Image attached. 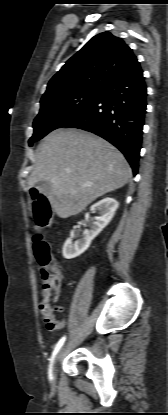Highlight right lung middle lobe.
Returning a JSON list of instances; mask_svg holds the SVG:
<instances>
[{
    "label": "right lung middle lobe",
    "mask_w": 168,
    "mask_h": 415,
    "mask_svg": "<svg viewBox=\"0 0 168 415\" xmlns=\"http://www.w3.org/2000/svg\"><path fill=\"white\" fill-rule=\"evenodd\" d=\"M103 93L101 89H85L67 93L41 103L40 112L33 122L34 133L29 146L95 102Z\"/></svg>",
    "instance_id": "1"
}]
</instances>
